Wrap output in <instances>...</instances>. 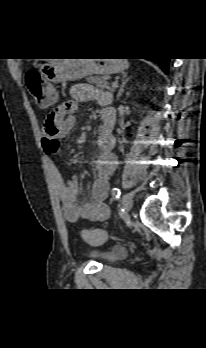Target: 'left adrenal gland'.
Instances as JSON below:
<instances>
[{
    "label": "left adrenal gland",
    "instance_id": "obj_1",
    "mask_svg": "<svg viewBox=\"0 0 206 348\" xmlns=\"http://www.w3.org/2000/svg\"><path fill=\"white\" fill-rule=\"evenodd\" d=\"M130 80V77H127V74L123 75L122 78V85L118 91V95H117V100H119L120 96L122 95V93L124 92V88L126 86V84L128 83V81Z\"/></svg>",
    "mask_w": 206,
    "mask_h": 348
}]
</instances>
